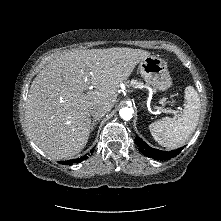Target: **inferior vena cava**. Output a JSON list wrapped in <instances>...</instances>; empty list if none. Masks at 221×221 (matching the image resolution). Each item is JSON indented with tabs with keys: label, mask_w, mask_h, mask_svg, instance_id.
Returning a JSON list of instances; mask_svg holds the SVG:
<instances>
[{
	"label": "inferior vena cava",
	"mask_w": 221,
	"mask_h": 221,
	"mask_svg": "<svg viewBox=\"0 0 221 221\" xmlns=\"http://www.w3.org/2000/svg\"><path fill=\"white\" fill-rule=\"evenodd\" d=\"M108 108L105 105H100V104H95L92 105L89 108V112L90 114L94 117V118H102L107 112H108Z\"/></svg>",
	"instance_id": "obj_1"
}]
</instances>
